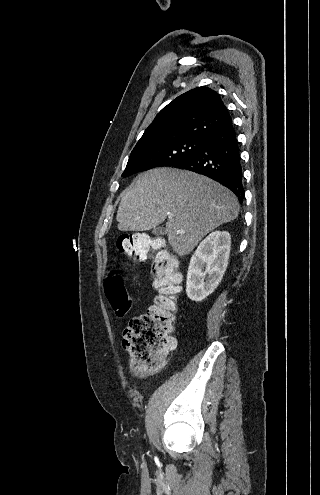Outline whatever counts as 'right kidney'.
<instances>
[{
	"label": "right kidney",
	"instance_id": "obj_1",
	"mask_svg": "<svg viewBox=\"0 0 320 495\" xmlns=\"http://www.w3.org/2000/svg\"><path fill=\"white\" fill-rule=\"evenodd\" d=\"M231 237L226 231L209 234L197 247L187 272L186 293L199 302L213 293L228 265Z\"/></svg>",
	"mask_w": 320,
	"mask_h": 495
}]
</instances>
